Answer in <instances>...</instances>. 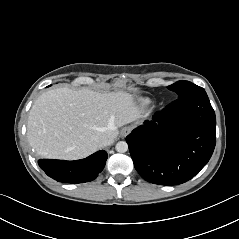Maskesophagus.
<instances>
[{
    "label": "esophagus",
    "instance_id": "esophagus-1",
    "mask_svg": "<svg viewBox=\"0 0 239 239\" xmlns=\"http://www.w3.org/2000/svg\"><path fill=\"white\" fill-rule=\"evenodd\" d=\"M131 130H132V126H126L122 129L121 135L125 137L131 132Z\"/></svg>",
    "mask_w": 239,
    "mask_h": 239
}]
</instances>
